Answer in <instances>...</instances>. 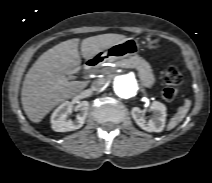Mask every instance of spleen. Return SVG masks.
<instances>
[{
	"mask_svg": "<svg viewBox=\"0 0 212 183\" xmlns=\"http://www.w3.org/2000/svg\"><path fill=\"white\" fill-rule=\"evenodd\" d=\"M191 107V100L185 99L184 105L178 108L177 113L170 119V122L167 125V130H172L175 128L186 116Z\"/></svg>",
	"mask_w": 212,
	"mask_h": 183,
	"instance_id": "obj_1",
	"label": "spleen"
}]
</instances>
